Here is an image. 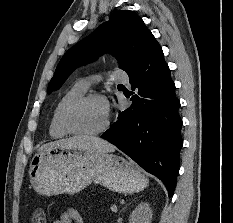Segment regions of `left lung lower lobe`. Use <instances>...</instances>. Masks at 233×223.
Masks as SVG:
<instances>
[{
	"mask_svg": "<svg viewBox=\"0 0 233 223\" xmlns=\"http://www.w3.org/2000/svg\"><path fill=\"white\" fill-rule=\"evenodd\" d=\"M135 90L132 105L102 138L114 144L147 172L157 176L172 196L179 170L182 120L175 84L155 41L138 66L128 74Z\"/></svg>",
	"mask_w": 233,
	"mask_h": 223,
	"instance_id": "1",
	"label": "left lung lower lobe"
}]
</instances>
